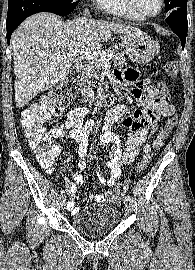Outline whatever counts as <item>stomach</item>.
Wrapping results in <instances>:
<instances>
[{
	"mask_svg": "<svg viewBox=\"0 0 195 270\" xmlns=\"http://www.w3.org/2000/svg\"><path fill=\"white\" fill-rule=\"evenodd\" d=\"M123 51L132 61L144 64L159 52V43L148 34L137 30L121 36Z\"/></svg>",
	"mask_w": 195,
	"mask_h": 270,
	"instance_id": "0dacf381",
	"label": "stomach"
}]
</instances>
